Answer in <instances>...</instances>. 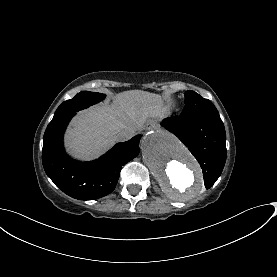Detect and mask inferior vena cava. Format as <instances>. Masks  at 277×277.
<instances>
[{
  "instance_id": "1",
  "label": "inferior vena cava",
  "mask_w": 277,
  "mask_h": 277,
  "mask_svg": "<svg viewBox=\"0 0 277 277\" xmlns=\"http://www.w3.org/2000/svg\"><path fill=\"white\" fill-rule=\"evenodd\" d=\"M135 131L131 127L120 128L114 132L113 138L117 142L127 141L135 135Z\"/></svg>"
}]
</instances>
